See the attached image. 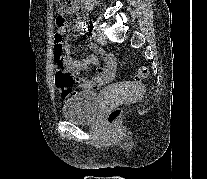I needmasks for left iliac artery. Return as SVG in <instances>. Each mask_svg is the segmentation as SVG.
Here are the masks:
<instances>
[{
  "mask_svg": "<svg viewBox=\"0 0 207 179\" xmlns=\"http://www.w3.org/2000/svg\"><path fill=\"white\" fill-rule=\"evenodd\" d=\"M87 26H88L89 29H92L93 26H94V23L93 22H88L87 23Z\"/></svg>",
  "mask_w": 207,
  "mask_h": 179,
  "instance_id": "left-iliac-artery-1",
  "label": "left iliac artery"
}]
</instances>
